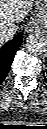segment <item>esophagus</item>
<instances>
[{
    "mask_svg": "<svg viewBox=\"0 0 47 129\" xmlns=\"http://www.w3.org/2000/svg\"><path fill=\"white\" fill-rule=\"evenodd\" d=\"M38 28L37 24L32 22V23H29L27 26H26V29L25 31L27 33H32L34 32L36 29Z\"/></svg>",
    "mask_w": 47,
    "mask_h": 129,
    "instance_id": "34e87169",
    "label": "esophagus"
}]
</instances>
